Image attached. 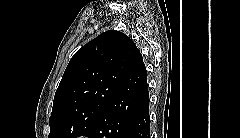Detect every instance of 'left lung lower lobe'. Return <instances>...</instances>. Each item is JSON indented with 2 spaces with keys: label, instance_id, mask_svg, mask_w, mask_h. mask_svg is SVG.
Returning <instances> with one entry per match:
<instances>
[{
  "label": "left lung lower lobe",
  "instance_id": "obj_1",
  "mask_svg": "<svg viewBox=\"0 0 240 138\" xmlns=\"http://www.w3.org/2000/svg\"><path fill=\"white\" fill-rule=\"evenodd\" d=\"M147 72L142 55L93 127L90 138H150Z\"/></svg>",
  "mask_w": 240,
  "mask_h": 138
}]
</instances>
